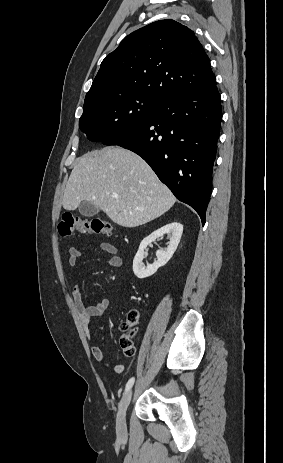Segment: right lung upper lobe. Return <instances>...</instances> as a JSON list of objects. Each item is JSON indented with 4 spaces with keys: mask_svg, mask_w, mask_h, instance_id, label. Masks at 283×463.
Returning <instances> with one entry per match:
<instances>
[{
    "mask_svg": "<svg viewBox=\"0 0 283 463\" xmlns=\"http://www.w3.org/2000/svg\"><path fill=\"white\" fill-rule=\"evenodd\" d=\"M215 82L210 60L194 32L166 19L132 32L105 57L84 103L115 94H137L159 102Z\"/></svg>",
    "mask_w": 283,
    "mask_h": 463,
    "instance_id": "cb5924a9",
    "label": "right lung upper lobe"
}]
</instances>
